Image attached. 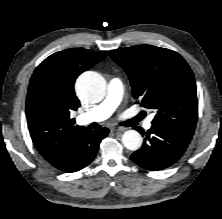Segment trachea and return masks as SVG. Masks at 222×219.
<instances>
[{
	"label": "trachea",
	"mask_w": 222,
	"mask_h": 219,
	"mask_svg": "<svg viewBox=\"0 0 222 219\" xmlns=\"http://www.w3.org/2000/svg\"><path fill=\"white\" fill-rule=\"evenodd\" d=\"M143 117H144V114L141 113V114H139L137 117H135V118L133 119V121L138 122V121H140ZM92 128H97V127H92Z\"/></svg>",
	"instance_id": "obj_1"
}]
</instances>
